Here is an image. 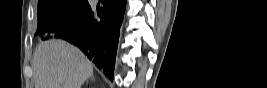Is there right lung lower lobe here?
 <instances>
[{
  "instance_id": "obj_1",
  "label": "right lung lower lobe",
  "mask_w": 267,
  "mask_h": 88,
  "mask_svg": "<svg viewBox=\"0 0 267 88\" xmlns=\"http://www.w3.org/2000/svg\"><path fill=\"white\" fill-rule=\"evenodd\" d=\"M127 0H102L98 18L89 5L69 22L60 24L52 36L69 41L79 47L110 79L114 77V64L120 27Z\"/></svg>"
}]
</instances>
